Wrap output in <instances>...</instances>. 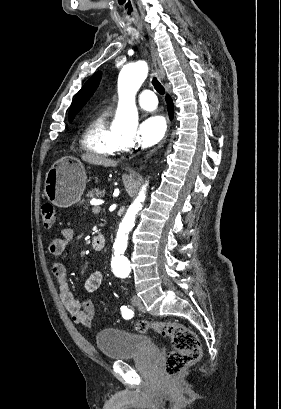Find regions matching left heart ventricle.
<instances>
[{"mask_svg":"<svg viewBox=\"0 0 281 409\" xmlns=\"http://www.w3.org/2000/svg\"><path fill=\"white\" fill-rule=\"evenodd\" d=\"M122 136L125 137V138H127V139H130V138H131V136L125 135V134H123Z\"/></svg>","mask_w":281,"mask_h":409,"instance_id":"b2bd125f","label":"left heart ventricle"}]
</instances>
